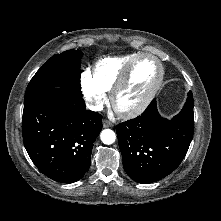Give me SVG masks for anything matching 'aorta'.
<instances>
[{
  "instance_id": "1",
  "label": "aorta",
  "mask_w": 221,
  "mask_h": 221,
  "mask_svg": "<svg viewBox=\"0 0 221 221\" xmlns=\"http://www.w3.org/2000/svg\"><path fill=\"white\" fill-rule=\"evenodd\" d=\"M100 138L104 144L110 145L115 142L116 135L113 130L105 129L101 132Z\"/></svg>"
}]
</instances>
